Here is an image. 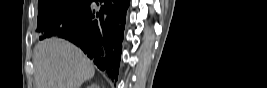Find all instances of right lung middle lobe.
<instances>
[{"label":"right lung middle lobe","mask_w":267,"mask_h":88,"mask_svg":"<svg viewBox=\"0 0 267 88\" xmlns=\"http://www.w3.org/2000/svg\"><path fill=\"white\" fill-rule=\"evenodd\" d=\"M91 0H39L38 27L40 40L50 37L49 33L58 24L73 18L86 8Z\"/></svg>","instance_id":"right-lung-middle-lobe-1"}]
</instances>
